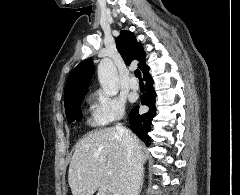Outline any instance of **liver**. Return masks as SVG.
I'll return each mask as SVG.
<instances>
[{
    "label": "liver",
    "mask_w": 240,
    "mask_h": 195,
    "mask_svg": "<svg viewBox=\"0 0 240 195\" xmlns=\"http://www.w3.org/2000/svg\"><path fill=\"white\" fill-rule=\"evenodd\" d=\"M136 139L143 163L147 155L142 151V141ZM127 153L116 127L87 133L77 143L69 165L68 181L73 195H93L97 189L100 195L124 193L129 175Z\"/></svg>",
    "instance_id": "obj_1"
}]
</instances>
